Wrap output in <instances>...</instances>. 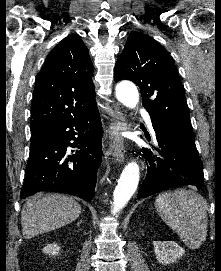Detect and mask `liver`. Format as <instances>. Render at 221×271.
Segmentation results:
<instances>
[{
    "mask_svg": "<svg viewBox=\"0 0 221 271\" xmlns=\"http://www.w3.org/2000/svg\"><path fill=\"white\" fill-rule=\"evenodd\" d=\"M80 213L82 207L74 197L62 193H35L22 207L23 237L31 239L39 233L58 229L75 221Z\"/></svg>",
    "mask_w": 221,
    "mask_h": 271,
    "instance_id": "liver-1",
    "label": "liver"
}]
</instances>
